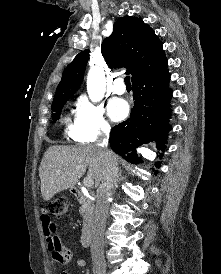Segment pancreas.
Masks as SVG:
<instances>
[{
  "mask_svg": "<svg viewBox=\"0 0 221 274\" xmlns=\"http://www.w3.org/2000/svg\"><path fill=\"white\" fill-rule=\"evenodd\" d=\"M91 206H92V201L89 199H86L85 203H83L82 206L80 207V214L85 215L87 211L91 209Z\"/></svg>",
  "mask_w": 221,
  "mask_h": 274,
  "instance_id": "1",
  "label": "pancreas"
}]
</instances>
